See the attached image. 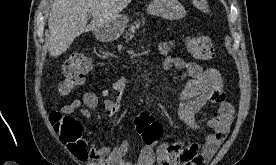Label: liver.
I'll use <instances>...</instances> for the list:
<instances>
[{"mask_svg": "<svg viewBox=\"0 0 276 165\" xmlns=\"http://www.w3.org/2000/svg\"><path fill=\"white\" fill-rule=\"evenodd\" d=\"M132 0H54L48 18L46 46L58 57L82 33L95 31L117 17ZM88 15L93 20L87 25Z\"/></svg>", "mask_w": 276, "mask_h": 165, "instance_id": "6515ba94", "label": "liver"}]
</instances>
